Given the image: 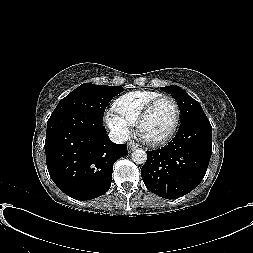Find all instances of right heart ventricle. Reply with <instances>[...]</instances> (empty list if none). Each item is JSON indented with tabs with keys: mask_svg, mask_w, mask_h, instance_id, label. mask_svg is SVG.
Here are the masks:
<instances>
[{
	"mask_svg": "<svg viewBox=\"0 0 253 253\" xmlns=\"http://www.w3.org/2000/svg\"><path fill=\"white\" fill-rule=\"evenodd\" d=\"M163 94L157 91L139 90L120 96L114 102V110L131 126L136 125L137 119L144 108L154 99Z\"/></svg>",
	"mask_w": 253,
	"mask_h": 253,
	"instance_id": "obj_1",
	"label": "right heart ventricle"
}]
</instances>
